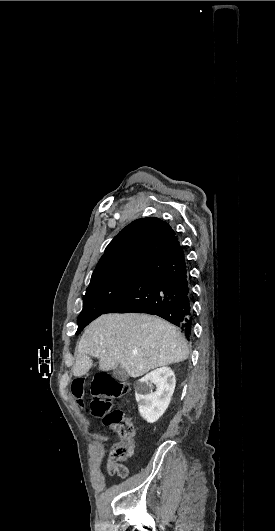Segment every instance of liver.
Returning <instances> with one entry per match:
<instances>
[{"instance_id": "6515ba94", "label": "liver", "mask_w": 275, "mask_h": 531, "mask_svg": "<svg viewBox=\"0 0 275 531\" xmlns=\"http://www.w3.org/2000/svg\"><path fill=\"white\" fill-rule=\"evenodd\" d=\"M136 353V355H133ZM99 359L101 371L117 365L130 377L188 359V343L177 327L153 315H101L88 325L78 345L74 377H82Z\"/></svg>"}]
</instances>
